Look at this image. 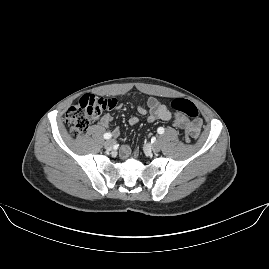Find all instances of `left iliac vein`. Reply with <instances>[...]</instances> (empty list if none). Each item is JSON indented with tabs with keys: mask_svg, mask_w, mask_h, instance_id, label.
<instances>
[{
	"mask_svg": "<svg viewBox=\"0 0 269 269\" xmlns=\"http://www.w3.org/2000/svg\"><path fill=\"white\" fill-rule=\"evenodd\" d=\"M151 149L154 151H160L161 150V143L159 141L155 142L154 144L150 145Z\"/></svg>",
	"mask_w": 269,
	"mask_h": 269,
	"instance_id": "4c4485c4",
	"label": "left iliac vein"
}]
</instances>
